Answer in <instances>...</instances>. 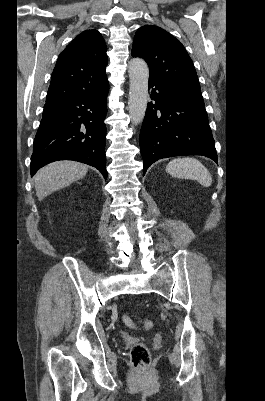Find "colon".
I'll use <instances>...</instances> for the list:
<instances>
[{"instance_id":"obj_1","label":"colon","mask_w":265,"mask_h":401,"mask_svg":"<svg viewBox=\"0 0 265 401\" xmlns=\"http://www.w3.org/2000/svg\"><path fill=\"white\" fill-rule=\"evenodd\" d=\"M123 319L126 324L143 330H150L153 326L152 321L148 319H141L139 317H135L134 319L124 317ZM130 359L134 367L138 370H146L150 363V352L148 347L143 343L134 344L130 349Z\"/></svg>"}]
</instances>
